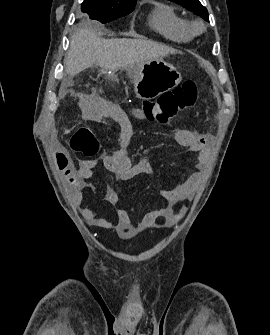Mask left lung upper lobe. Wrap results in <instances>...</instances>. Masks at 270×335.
Segmentation results:
<instances>
[{
    "label": "left lung upper lobe",
    "instance_id": "left-lung-upper-lobe-1",
    "mask_svg": "<svg viewBox=\"0 0 270 335\" xmlns=\"http://www.w3.org/2000/svg\"><path fill=\"white\" fill-rule=\"evenodd\" d=\"M179 5H182L186 9L193 11L196 15L201 16L204 20H208L207 9L199 2V0H169Z\"/></svg>",
    "mask_w": 270,
    "mask_h": 335
}]
</instances>
